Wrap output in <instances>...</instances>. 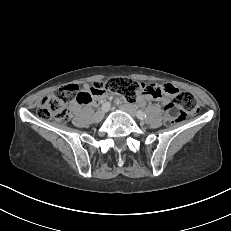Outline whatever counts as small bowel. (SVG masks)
Masks as SVG:
<instances>
[{"instance_id":"1","label":"small bowel","mask_w":231,"mask_h":231,"mask_svg":"<svg viewBox=\"0 0 231 231\" xmlns=\"http://www.w3.org/2000/svg\"><path fill=\"white\" fill-rule=\"evenodd\" d=\"M176 91H177L176 87L172 84L147 85L145 91L138 97L137 103L139 105H144L148 101H152V100L160 101L162 103H167L174 96ZM83 92L89 94L90 98L88 101L84 103H79L76 101L73 104V108L75 110H77L80 107V105H96L98 104L100 99L106 98L109 96V94L106 92L93 95L92 88H90L87 85L83 86Z\"/></svg>"}]
</instances>
